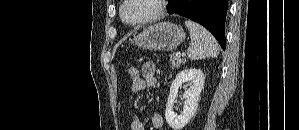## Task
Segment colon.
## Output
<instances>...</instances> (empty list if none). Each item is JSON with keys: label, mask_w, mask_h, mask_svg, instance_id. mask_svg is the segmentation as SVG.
Segmentation results:
<instances>
[{"label": "colon", "mask_w": 299, "mask_h": 130, "mask_svg": "<svg viewBox=\"0 0 299 130\" xmlns=\"http://www.w3.org/2000/svg\"><path fill=\"white\" fill-rule=\"evenodd\" d=\"M128 75L131 79V83L138 81L141 77L140 70L136 66L129 67Z\"/></svg>", "instance_id": "5ec220e1"}]
</instances>
